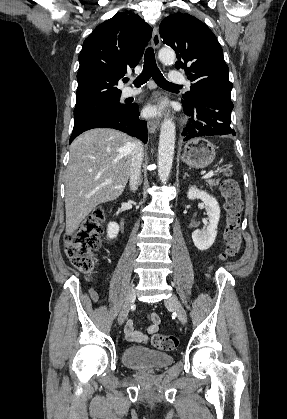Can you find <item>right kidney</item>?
<instances>
[{
  "label": "right kidney",
  "mask_w": 287,
  "mask_h": 419,
  "mask_svg": "<svg viewBox=\"0 0 287 419\" xmlns=\"http://www.w3.org/2000/svg\"><path fill=\"white\" fill-rule=\"evenodd\" d=\"M119 225L116 222H110L107 228V236L109 239H114L119 233Z\"/></svg>",
  "instance_id": "1"
}]
</instances>
